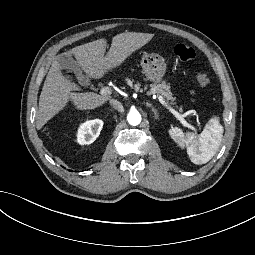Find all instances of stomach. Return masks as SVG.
Masks as SVG:
<instances>
[{
	"label": "stomach",
	"mask_w": 255,
	"mask_h": 255,
	"mask_svg": "<svg viewBox=\"0 0 255 255\" xmlns=\"http://www.w3.org/2000/svg\"><path fill=\"white\" fill-rule=\"evenodd\" d=\"M147 57H149V55L144 56V58ZM142 68L148 80L158 83L165 74L166 64L159 58L158 61H154L153 63H142Z\"/></svg>",
	"instance_id": "obj_1"
}]
</instances>
